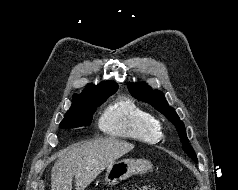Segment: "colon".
Returning <instances> with one entry per match:
<instances>
[{"label": "colon", "mask_w": 238, "mask_h": 190, "mask_svg": "<svg viewBox=\"0 0 238 190\" xmlns=\"http://www.w3.org/2000/svg\"><path fill=\"white\" fill-rule=\"evenodd\" d=\"M132 190H156L155 188L144 186V187H135Z\"/></svg>", "instance_id": "5ec220e1"}]
</instances>
